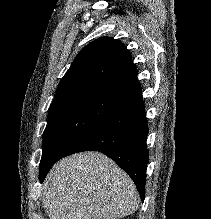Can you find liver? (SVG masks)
Wrapping results in <instances>:
<instances>
[{
	"mask_svg": "<svg viewBox=\"0 0 211 219\" xmlns=\"http://www.w3.org/2000/svg\"><path fill=\"white\" fill-rule=\"evenodd\" d=\"M43 189V208L50 219H119L139 206L131 178L99 152L61 159Z\"/></svg>",
	"mask_w": 211,
	"mask_h": 219,
	"instance_id": "1",
	"label": "liver"
}]
</instances>
